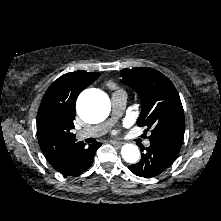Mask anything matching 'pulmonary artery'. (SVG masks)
<instances>
[{
    "instance_id": "1",
    "label": "pulmonary artery",
    "mask_w": 221,
    "mask_h": 221,
    "mask_svg": "<svg viewBox=\"0 0 221 221\" xmlns=\"http://www.w3.org/2000/svg\"><path fill=\"white\" fill-rule=\"evenodd\" d=\"M127 101V95L122 90L115 91L111 96V104H112V119L109 121L87 127L77 133V136L79 138H98L103 136L109 128L114 124L116 119L120 117L125 109ZM150 144V141H145V145L148 146Z\"/></svg>"
}]
</instances>
